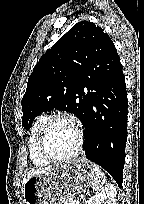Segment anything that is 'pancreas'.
Instances as JSON below:
<instances>
[{
	"instance_id": "obj_1",
	"label": "pancreas",
	"mask_w": 144,
	"mask_h": 204,
	"mask_svg": "<svg viewBox=\"0 0 144 204\" xmlns=\"http://www.w3.org/2000/svg\"><path fill=\"white\" fill-rule=\"evenodd\" d=\"M77 202L74 199H69L66 204H76Z\"/></svg>"
}]
</instances>
